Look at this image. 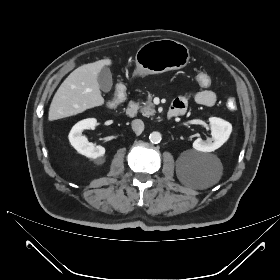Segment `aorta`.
<instances>
[{"instance_id": "1", "label": "aorta", "mask_w": 280, "mask_h": 280, "mask_svg": "<svg viewBox=\"0 0 280 280\" xmlns=\"http://www.w3.org/2000/svg\"><path fill=\"white\" fill-rule=\"evenodd\" d=\"M149 140L151 143L157 144L162 140V135L158 131H154L149 135Z\"/></svg>"}]
</instances>
